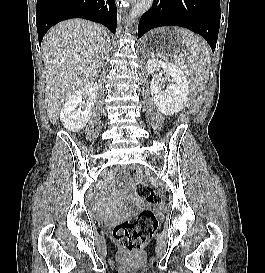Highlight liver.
Returning a JSON list of instances; mask_svg holds the SVG:
<instances>
[{"label":"liver","instance_id":"liver-1","mask_svg":"<svg viewBox=\"0 0 265 273\" xmlns=\"http://www.w3.org/2000/svg\"><path fill=\"white\" fill-rule=\"evenodd\" d=\"M106 29L84 19H70L51 28L42 41L46 74L45 103L56 123L65 101L93 82L109 49Z\"/></svg>","mask_w":265,"mask_h":273}]
</instances>
